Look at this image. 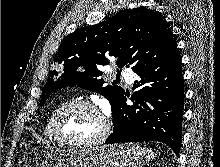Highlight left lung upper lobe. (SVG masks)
<instances>
[{
	"label": "left lung upper lobe",
	"instance_id": "obj_1",
	"mask_svg": "<svg viewBox=\"0 0 220 167\" xmlns=\"http://www.w3.org/2000/svg\"><path fill=\"white\" fill-rule=\"evenodd\" d=\"M175 48V36L158 12L142 7L122 10L100 24L77 29L63 39L54 62H63L64 71L50 72L40 105L54 91L77 85L104 95L113 108L124 90L119 86H104L103 79H98L102 75L100 66L109 64L110 58L115 57L119 68L131 67L135 71Z\"/></svg>",
	"mask_w": 220,
	"mask_h": 167
}]
</instances>
